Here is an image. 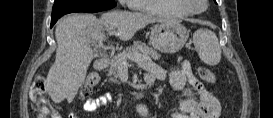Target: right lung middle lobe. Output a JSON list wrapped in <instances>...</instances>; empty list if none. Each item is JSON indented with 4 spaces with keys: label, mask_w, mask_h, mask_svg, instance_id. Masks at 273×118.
I'll return each mask as SVG.
<instances>
[{
    "label": "right lung middle lobe",
    "mask_w": 273,
    "mask_h": 118,
    "mask_svg": "<svg viewBox=\"0 0 273 118\" xmlns=\"http://www.w3.org/2000/svg\"><path fill=\"white\" fill-rule=\"evenodd\" d=\"M115 0H55L53 8L67 6L89 12L108 10L116 6Z\"/></svg>",
    "instance_id": "1"
}]
</instances>
